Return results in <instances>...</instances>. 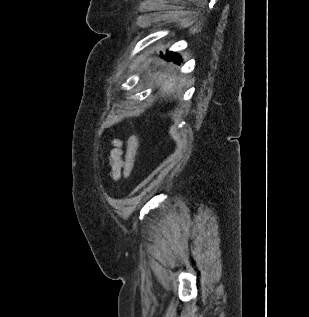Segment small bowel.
Masks as SVG:
<instances>
[{
    "label": "small bowel",
    "mask_w": 309,
    "mask_h": 317,
    "mask_svg": "<svg viewBox=\"0 0 309 317\" xmlns=\"http://www.w3.org/2000/svg\"><path fill=\"white\" fill-rule=\"evenodd\" d=\"M111 144L113 148L107 153L110 177L113 180H118L124 166L122 141L120 139H114L111 141Z\"/></svg>",
    "instance_id": "1"
}]
</instances>
